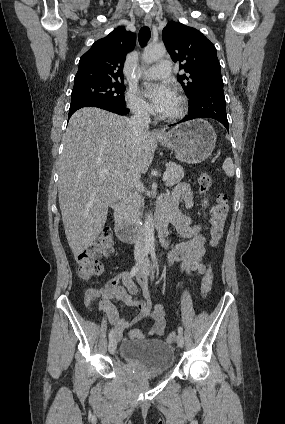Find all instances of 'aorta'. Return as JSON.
Returning a JSON list of instances; mask_svg holds the SVG:
<instances>
[{"mask_svg": "<svg viewBox=\"0 0 285 424\" xmlns=\"http://www.w3.org/2000/svg\"><path fill=\"white\" fill-rule=\"evenodd\" d=\"M166 55V48L164 46H153L146 47L143 54L142 59L145 64L149 65ZM144 241L145 246L148 248L154 247L155 237H154V221L152 217V213H148L145 225H144Z\"/></svg>", "mask_w": 285, "mask_h": 424, "instance_id": "1", "label": "aorta"}]
</instances>
